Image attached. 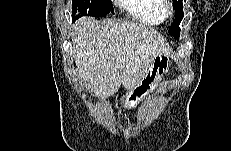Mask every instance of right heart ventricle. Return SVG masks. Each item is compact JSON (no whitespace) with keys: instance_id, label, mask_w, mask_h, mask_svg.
Segmentation results:
<instances>
[{"instance_id":"right-heart-ventricle-1","label":"right heart ventricle","mask_w":231,"mask_h":151,"mask_svg":"<svg viewBox=\"0 0 231 151\" xmlns=\"http://www.w3.org/2000/svg\"><path fill=\"white\" fill-rule=\"evenodd\" d=\"M123 8L135 24L158 25L164 20L162 0H125Z\"/></svg>"}]
</instances>
